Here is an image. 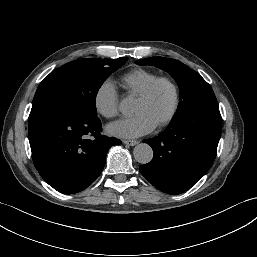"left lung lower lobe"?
Wrapping results in <instances>:
<instances>
[{
  "instance_id": "0a47b994",
  "label": "left lung lower lobe",
  "mask_w": 257,
  "mask_h": 257,
  "mask_svg": "<svg viewBox=\"0 0 257 257\" xmlns=\"http://www.w3.org/2000/svg\"><path fill=\"white\" fill-rule=\"evenodd\" d=\"M221 124L217 103L206 104L172 120L163 133L144 140L152 147L154 155L151 162L140 166L141 174L165 193L187 191L212 166Z\"/></svg>"
}]
</instances>
